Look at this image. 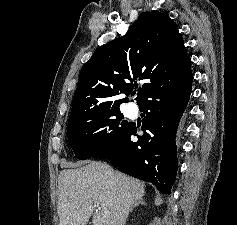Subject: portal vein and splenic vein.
Here are the masks:
<instances>
[{"label":"portal vein and splenic vein","instance_id":"portal-vein-and-splenic-vein-1","mask_svg":"<svg viewBox=\"0 0 237 225\" xmlns=\"http://www.w3.org/2000/svg\"><path fill=\"white\" fill-rule=\"evenodd\" d=\"M94 206H95V207H98V203H97V202H95Z\"/></svg>","mask_w":237,"mask_h":225}]
</instances>
